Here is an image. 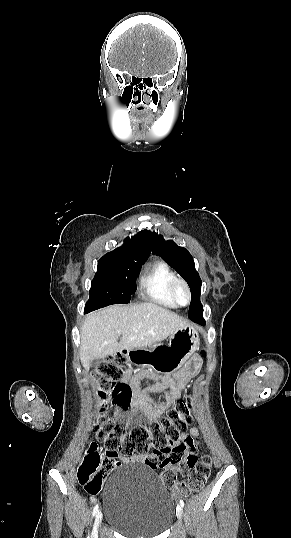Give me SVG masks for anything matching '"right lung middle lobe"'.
Segmentation results:
<instances>
[{"instance_id":"dd1d6c3e","label":"right lung middle lobe","mask_w":291,"mask_h":538,"mask_svg":"<svg viewBox=\"0 0 291 538\" xmlns=\"http://www.w3.org/2000/svg\"><path fill=\"white\" fill-rule=\"evenodd\" d=\"M146 259L101 258L92 280L84 313L111 305L127 304L136 290L135 279Z\"/></svg>"}]
</instances>
